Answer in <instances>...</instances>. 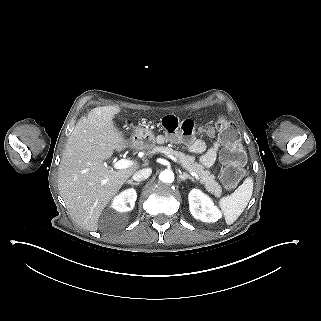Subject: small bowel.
Masks as SVG:
<instances>
[{
  "label": "small bowel",
  "mask_w": 321,
  "mask_h": 321,
  "mask_svg": "<svg viewBox=\"0 0 321 321\" xmlns=\"http://www.w3.org/2000/svg\"><path fill=\"white\" fill-rule=\"evenodd\" d=\"M218 149L219 143L217 142L206 151V145L201 140H196L192 142L188 147L189 152L194 154H200L206 151L201 157V163L206 167H209L214 163Z\"/></svg>",
  "instance_id": "small-bowel-1"
}]
</instances>
